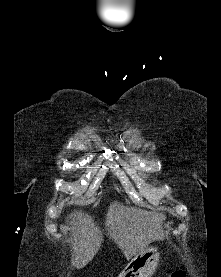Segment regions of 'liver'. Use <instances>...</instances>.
Returning <instances> with one entry per match:
<instances>
[{"label": "liver", "mask_w": 221, "mask_h": 277, "mask_svg": "<svg viewBox=\"0 0 221 277\" xmlns=\"http://www.w3.org/2000/svg\"><path fill=\"white\" fill-rule=\"evenodd\" d=\"M71 222L65 230H71L72 265L77 269L86 266L96 255L103 241V234L91 216L75 210L69 216ZM165 220L161 213L125 207L113 202L108 209L105 230L109 239L121 249L127 260L144 250L156 240H163L166 233L160 223Z\"/></svg>", "instance_id": "1"}]
</instances>
